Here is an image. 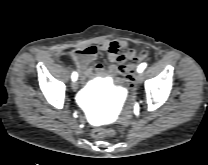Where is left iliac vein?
Listing matches in <instances>:
<instances>
[{
  "mask_svg": "<svg viewBox=\"0 0 208 165\" xmlns=\"http://www.w3.org/2000/svg\"><path fill=\"white\" fill-rule=\"evenodd\" d=\"M142 81H143V74L140 73L136 76V82L140 84L142 83Z\"/></svg>",
  "mask_w": 208,
  "mask_h": 165,
  "instance_id": "left-iliac-vein-1",
  "label": "left iliac vein"
}]
</instances>
